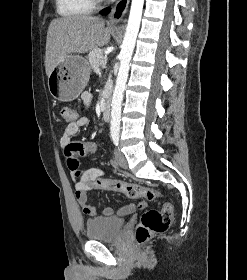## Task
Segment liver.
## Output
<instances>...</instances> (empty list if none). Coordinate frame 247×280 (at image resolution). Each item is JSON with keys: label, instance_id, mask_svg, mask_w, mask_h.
Instances as JSON below:
<instances>
[{"label": "liver", "instance_id": "liver-1", "mask_svg": "<svg viewBox=\"0 0 247 280\" xmlns=\"http://www.w3.org/2000/svg\"><path fill=\"white\" fill-rule=\"evenodd\" d=\"M111 29L101 18L71 16L51 21L46 40L45 70L49 77L58 63L72 53H86L106 45Z\"/></svg>", "mask_w": 247, "mask_h": 280}]
</instances>
